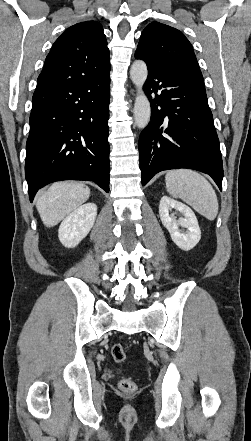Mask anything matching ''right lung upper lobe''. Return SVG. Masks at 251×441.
<instances>
[{
    "label": "right lung upper lobe",
    "mask_w": 251,
    "mask_h": 441,
    "mask_svg": "<svg viewBox=\"0 0 251 441\" xmlns=\"http://www.w3.org/2000/svg\"><path fill=\"white\" fill-rule=\"evenodd\" d=\"M109 69V49L102 26L95 21L81 22L55 41L38 83L80 80Z\"/></svg>",
    "instance_id": "1"
}]
</instances>
